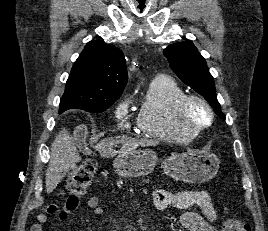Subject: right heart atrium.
Listing matches in <instances>:
<instances>
[{"mask_svg":"<svg viewBox=\"0 0 268 231\" xmlns=\"http://www.w3.org/2000/svg\"><path fill=\"white\" fill-rule=\"evenodd\" d=\"M129 100L128 98H123L115 109V116L119 124L125 128L129 127V121L127 120V115L129 113Z\"/></svg>","mask_w":268,"mask_h":231,"instance_id":"obj_1","label":"right heart atrium"}]
</instances>
